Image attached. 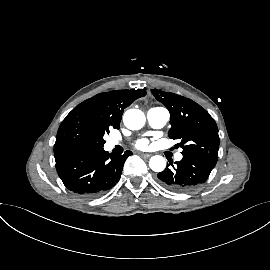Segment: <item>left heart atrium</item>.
I'll list each match as a JSON object with an SVG mask.
<instances>
[{
  "label": "left heart atrium",
  "mask_w": 270,
  "mask_h": 270,
  "mask_svg": "<svg viewBox=\"0 0 270 270\" xmlns=\"http://www.w3.org/2000/svg\"><path fill=\"white\" fill-rule=\"evenodd\" d=\"M135 146L140 150H146L149 147V141L147 139H140L136 142Z\"/></svg>",
  "instance_id": "left-heart-atrium-1"
}]
</instances>
